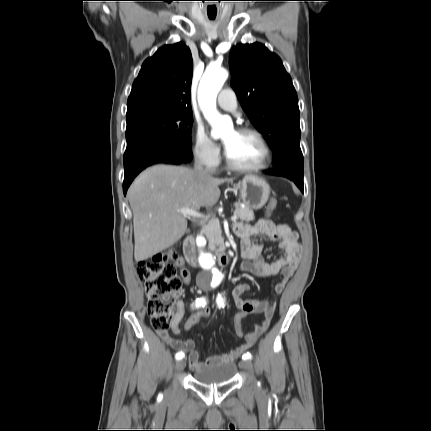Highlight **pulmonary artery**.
<instances>
[{
  "instance_id": "pulmonary-artery-1",
  "label": "pulmonary artery",
  "mask_w": 431,
  "mask_h": 431,
  "mask_svg": "<svg viewBox=\"0 0 431 431\" xmlns=\"http://www.w3.org/2000/svg\"><path fill=\"white\" fill-rule=\"evenodd\" d=\"M217 103L219 107L230 112H236L238 106L236 94L230 88H225L220 91L217 97Z\"/></svg>"
}]
</instances>
